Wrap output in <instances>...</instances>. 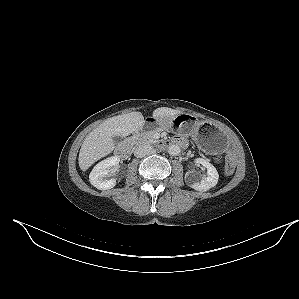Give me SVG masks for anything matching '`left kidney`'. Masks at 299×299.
<instances>
[{"instance_id": "obj_1", "label": "left kidney", "mask_w": 299, "mask_h": 299, "mask_svg": "<svg viewBox=\"0 0 299 299\" xmlns=\"http://www.w3.org/2000/svg\"><path fill=\"white\" fill-rule=\"evenodd\" d=\"M195 163L197 165L201 164L207 169V176L202 177L201 181L197 182L195 174L192 171H188L185 174L186 184L197 191H208L210 188L216 186L219 178L216 168L202 158L196 159Z\"/></svg>"}]
</instances>
